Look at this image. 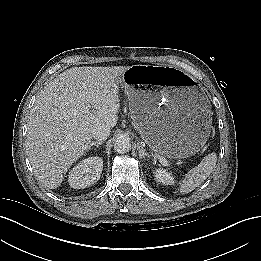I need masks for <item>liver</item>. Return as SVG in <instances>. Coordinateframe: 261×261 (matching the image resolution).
Wrapping results in <instances>:
<instances>
[{"mask_svg": "<svg viewBox=\"0 0 261 261\" xmlns=\"http://www.w3.org/2000/svg\"><path fill=\"white\" fill-rule=\"evenodd\" d=\"M129 67H72L39 92L27 126V153L45 187L62 183L91 144L94 128L117 124L119 83Z\"/></svg>", "mask_w": 261, "mask_h": 261, "instance_id": "liver-1", "label": "liver"}]
</instances>
